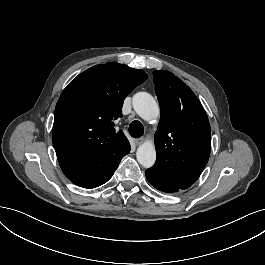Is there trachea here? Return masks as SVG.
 Here are the masks:
<instances>
[{
  "instance_id": "3493384b",
  "label": "trachea",
  "mask_w": 265,
  "mask_h": 265,
  "mask_svg": "<svg viewBox=\"0 0 265 265\" xmlns=\"http://www.w3.org/2000/svg\"><path fill=\"white\" fill-rule=\"evenodd\" d=\"M129 134L134 138H139L144 134V127L138 120L130 123L128 128Z\"/></svg>"
}]
</instances>
